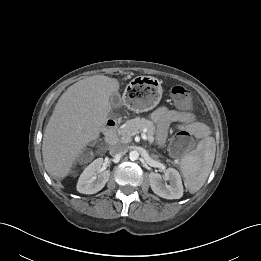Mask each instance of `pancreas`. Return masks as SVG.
<instances>
[{"label":"pancreas","instance_id":"pancreas-1","mask_svg":"<svg viewBox=\"0 0 261 261\" xmlns=\"http://www.w3.org/2000/svg\"><path fill=\"white\" fill-rule=\"evenodd\" d=\"M144 130L149 137L148 141L153 143L155 126L152 121L140 117L128 120L118 131L119 142L124 144L129 143L132 140L133 133L137 134Z\"/></svg>","mask_w":261,"mask_h":261}]
</instances>
